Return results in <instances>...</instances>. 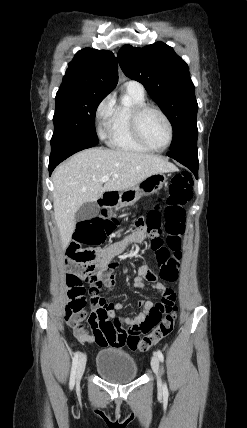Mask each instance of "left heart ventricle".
Instances as JSON below:
<instances>
[{
  "label": "left heart ventricle",
  "mask_w": 247,
  "mask_h": 428,
  "mask_svg": "<svg viewBox=\"0 0 247 428\" xmlns=\"http://www.w3.org/2000/svg\"><path fill=\"white\" fill-rule=\"evenodd\" d=\"M141 132L145 140L154 147H162L168 140V127L164 119L155 111L145 112L140 120Z\"/></svg>",
  "instance_id": "1"
}]
</instances>
